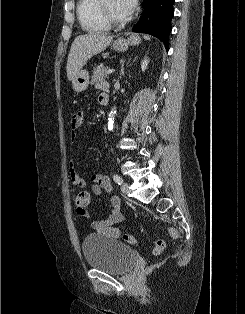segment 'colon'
Segmentation results:
<instances>
[{
    "label": "colon",
    "mask_w": 245,
    "mask_h": 314,
    "mask_svg": "<svg viewBox=\"0 0 245 314\" xmlns=\"http://www.w3.org/2000/svg\"><path fill=\"white\" fill-rule=\"evenodd\" d=\"M90 203V193L88 191H81L75 196V204L78 209V213H85ZM169 232L173 238H178L179 234L176 229L170 228ZM123 240L129 244H135L136 240L129 234L123 235ZM165 248V242L162 240H156L153 243V251L155 254H159Z\"/></svg>",
    "instance_id": "1"
}]
</instances>
